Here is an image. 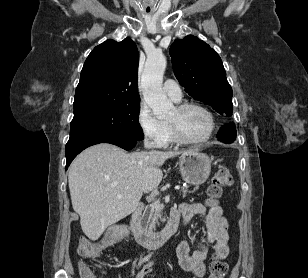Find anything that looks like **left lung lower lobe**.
Listing matches in <instances>:
<instances>
[{
	"label": "left lung lower lobe",
	"instance_id": "0a47b994",
	"mask_svg": "<svg viewBox=\"0 0 308 278\" xmlns=\"http://www.w3.org/2000/svg\"><path fill=\"white\" fill-rule=\"evenodd\" d=\"M218 138L225 143H232L236 139V128L234 123L221 128L218 132Z\"/></svg>",
	"mask_w": 308,
	"mask_h": 278
}]
</instances>
